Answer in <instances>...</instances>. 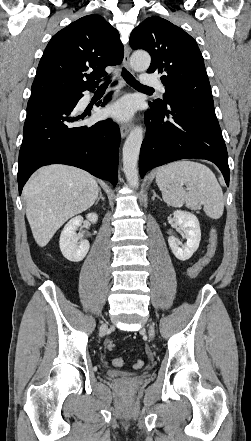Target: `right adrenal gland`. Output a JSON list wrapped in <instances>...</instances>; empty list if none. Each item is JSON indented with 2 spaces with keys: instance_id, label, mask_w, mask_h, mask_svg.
<instances>
[{
  "instance_id": "1",
  "label": "right adrenal gland",
  "mask_w": 251,
  "mask_h": 441,
  "mask_svg": "<svg viewBox=\"0 0 251 441\" xmlns=\"http://www.w3.org/2000/svg\"><path fill=\"white\" fill-rule=\"evenodd\" d=\"M100 199H101L102 201L105 200L104 197H103V195H102L101 189H99V197L97 198V200H96V202H95V205L98 204V202H99Z\"/></svg>"
}]
</instances>
